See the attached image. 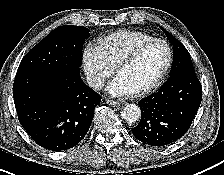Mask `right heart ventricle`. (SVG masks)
<instances>
[{
	"label": "right heart ventricle",
	"mask_w": 224,
	"mask_h": 175,
	"mask_svg": "<svg viewBox=\"0 0 224 175\" xmlns=\"http://www.w3.org/2000/svg\"><path fill=\"white\" fill-rule=\"evenodd\" d=\"M153 37L140 31L124 30L103 37L99 49L115 67L134 48Z\"/></svg>",
	"instance_id": "e07e8e85"
}]
</instances>
